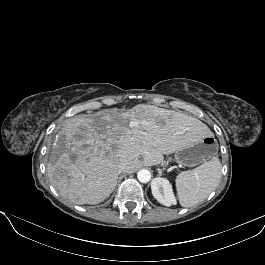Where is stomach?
<instances>
[{"label": "stomach", "instance_id": "obj_1", "mask_svg": "<svg viewBox=\"0 0 265 265\" xmlns=\"http://www.w3.org/2000/svg\"><path fill=\"white\" fill-rule=\"evenodd\" d=\"M216 150L214 138L207 135L199 141L186 142L175 151L176 161L183 166H196L210 159Z\"/></svg>", "mask_w": 265, "mask_h": 265}]
</instances>
